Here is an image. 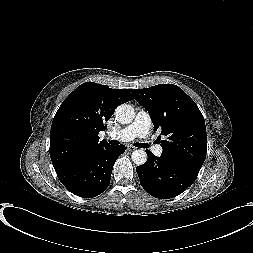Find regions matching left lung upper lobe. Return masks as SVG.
Masks as SVG:
<instances>
[{
  "instance_id": "left-lung-upper-lobe-1",
  "label": "left lung upper lobe",
  "mask_w": 253,
  "mask_h": 253,
  "mask_svg": "<svg viewBox=\"0 0 253 253\" xmlns=\"http://www.w3.org/2000/svg\"><path fill=\"white\" fill-rule=\"evenodd\" d=\"M131 92L148 110L154 130L167 137L161 140V156L200 170L206 157L207 134L204 117L191 97L173 84Z\"/></svg>"
}]
</instances>
